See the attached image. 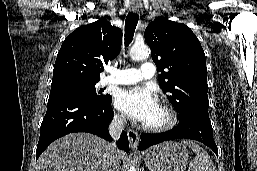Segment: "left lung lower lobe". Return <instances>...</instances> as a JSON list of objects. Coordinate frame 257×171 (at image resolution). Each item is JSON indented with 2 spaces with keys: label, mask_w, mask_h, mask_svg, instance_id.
<instances>
[{
  "label": "left lung lower lobe",
  "mask_w": 257,
  "mask_h": 171,
  "mask_svg": "<svg viewBox=\"0 0 257 171\" xmlns=\"http://www.w3.org/2000/svg\"><path fill=\"white\" fill-rule=\"evenodd\" d=\"M140 139L139 150L167 140L194 139L207 145L218 155L209 115L200 113H191L180 118L178 125L171 131L160 134H142Z\"/></svg>",
  "instance_id": "0a47b994"
}]
</instances>
